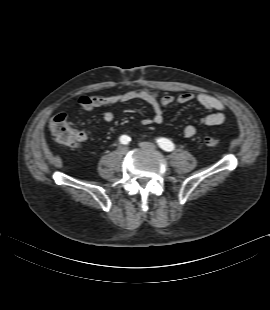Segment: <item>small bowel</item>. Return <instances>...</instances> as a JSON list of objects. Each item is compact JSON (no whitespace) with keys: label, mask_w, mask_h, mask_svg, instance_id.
<instances>
[{"label":"small bowel","mask_w":270,"mask_h":310,"mask_svg":"<svg viewBox=\"0 0 270 310\" xmlns=\"http://www.w3.org/2000/svg\"><path fill=\"white\" fill-rule=\"evenodd\" d=\"M133 100H142L147 103L153 110L151 118H144L142 124L161 125L164 122V109L177 104H186L191 101H197L210 113L203 116L200 122L207 126L222 125L226 122L224 114L227 106L219 98L206 93H182L178 96L166 94L159 96L156 92L149 89L130 90L125 93L114 94L111 96H91L80 95L77 98V103L85 111H92L98 108H106L118 103H125ZM217 111V112H213ZM102 119L106 123H110L114 119V114L111 111H105L102 114ZM79 133V143L87 140V133L85 131H77ZM197 129L193 125H186L182 129L185 137L191 138L195 136Z\"/></svg>","instance_id":"obj_1"}]
</instances>
